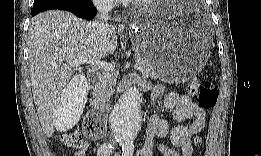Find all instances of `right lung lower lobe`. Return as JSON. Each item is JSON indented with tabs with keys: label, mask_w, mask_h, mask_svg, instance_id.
<instances>
[{
	"label": "right lung lower lobe",
	"mask_w": 261,
	"mask_h": 156,
	"mask_svg": "<svg viewBox=\"0 0 261 156\" xmlns=\"http://www.w3.org/2000/svg\"><path fill=\"white\" fill-rule=\"evenodd\" d=\"M51 9L66 10L85 19L93 18L97 12L91 0H68L60 4L32 9V15Z\"/></svg>",
	"instance_id": "1"
}]
</instances>
